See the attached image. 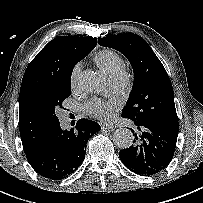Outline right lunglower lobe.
<instances>
[{
    "instance_id": "right-lung-lower-lobe-1",
    "label": "right lung lower lobe",
    "mask_w": 203,
    "mask_h": 203,
    "mask_svg": "<svg viewBox=\"0 0 203 203\" xmlns=\"http://www.w3.org/2000/svg\"><path fill=\"white\" fill-rule=\"evenodd\" d=\"M75 128L64 131L57 124L46 139L24 149L29 164L38 174L61 180L78 169L89 138L101 128L88 119H80Z\"/></svg>"
}]
</instances>
